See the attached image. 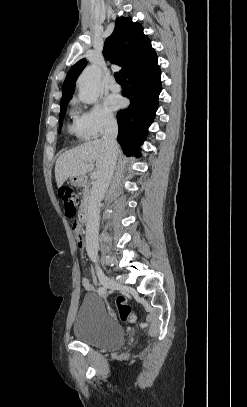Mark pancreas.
<instances>
[{
    "instance_id": "1",
    "label": "pancreas",
    "mask_w": 247,
    "mask_h": 407,
    "mask_svg": "<svg viewBox=\"0 0 247 407\" xmlns=\"http://www.w3.org/2000/svg\"><path fill=\"white\" fill-rule=\"evenodd\" d=\"M90 198V190L88 186H85L84 190H83V200H82V205H85Z\"/></svg>"
}]
</instances>
